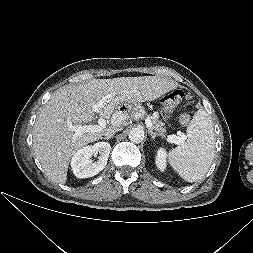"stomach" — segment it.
Wrapping results in <instances>:
<instances>
[{
	"mask_svg": "<svg viewBox=\"0 0 253 253\" xmlns=\"http://www.w3.org/2000/svg\"><path fill=\"white\" fill-rule=\"evenodd\" d=\"M161 99L162 100H157L155 102V107L159 113H164L166 111V105L169 101V97L168 95H163ZM132 108H133L132 104L126 102V103L121 104L118 110L120 114L124 115V114H127L128 112H131Z\"/></svg>",
	"mask_w": 253,
	"mask_h": 253,
	"instance_id": "stomach-1",
	"label": "stomach"
}]
</instances>
